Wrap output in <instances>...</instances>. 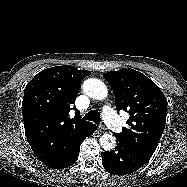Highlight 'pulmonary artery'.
I'll list each match as a JSON object with an SVG mask.
<instances>
[{
	"label": "pulmonary artery",
	"instance_id": "obj_1",
	"mask_svg": "<svg viewBox=\"0 0 187 187\" xmlns=\"http://www.w3.org/2000/svg\"><path fill=\"white\" fill-rule=\"evenodd\" d=\"M103 114L105 116L106 121L113 128V130L117 133H120L123 127L122 121L117 116L115 111L110 107V105H105L103 107Z\"/></svg>",
	"mask_w": 187,
	"mask_h": 187
}]
</instances>
